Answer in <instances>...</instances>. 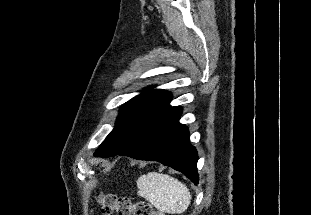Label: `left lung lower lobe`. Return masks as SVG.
<instances>
[{"label": "left lung lower lobe", "mask_w": 311, "mask_h": 215, "mask_svg": "<svg viewBox=\"0 0 311 215\" xmlns=\"http://www.w3.org/2000/svg\"><path fill=\"white\" fill-rule=\"evenodd\" d=\"M181 113V107L168 104L153 116L135 139L118 154L140 160L158 161L182 172L194 184H198V155L195 147L189 143L187 127L179 123Z\"/></svg>", "instance_id": "left-lung-lower-lobe-1"}]
</instances>
